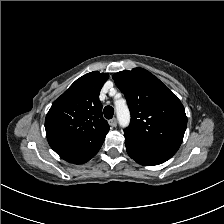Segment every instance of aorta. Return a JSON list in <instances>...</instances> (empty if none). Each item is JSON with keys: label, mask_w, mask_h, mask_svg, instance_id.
<instances>
[{"label": "aorta", "mask_w": 224, "mask_h": 224, "mask_svg": "<svg viewBox=\"0 0 224 224\" xmlns=\"http://www.w3.org/2000/svg\"><path fill=\"white\" fill-rule=\"evenodd\" d=\"M116 110L119 124L122 127L128 126L130 122V113L127 106L125 104L123 105L116 104Z\"/></svg>", "instance_id": "aorta-1"}]
</instances>
